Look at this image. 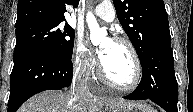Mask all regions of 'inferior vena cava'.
<instances>
[{
    "label": "inferior vena cava",
    "mask_w": 193,
    "mask_h": 112,
    "mask_svg": "<svg viewBox=\"0 0 193 112\" xmlns=\"http://www.w3.org/2000/svg\"><path fill=\"white\" fill-rule=\"evenodd\" d=\"M87 71L86 67L82 66L80 69L76 71L73 77V88L72 94L74 96H81L83 94H89V88L87 84Z\"/></svg>",
    "instance_id": "1"
}]
</instances>
